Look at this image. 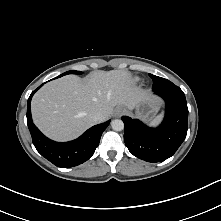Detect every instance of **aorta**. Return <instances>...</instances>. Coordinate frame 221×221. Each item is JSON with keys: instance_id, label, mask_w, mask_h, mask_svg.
I'll use <instances>...</instances> for the list:
<instances>
[{"instance_id": "1", "label": "aorta", "mask_w": 221, "mask_h": 221, "mask_svg": "<svg viewBox=\"0 0 221 221\" xmlns=\"http://www.w3.org/2000/svg\"><path fill=\"white\" fill-rule=\"evenodd\" d=\"M112 129L115 131H122L124 129V123L121 119H115L111 122Z\"/></svg>"}]
</instances>
